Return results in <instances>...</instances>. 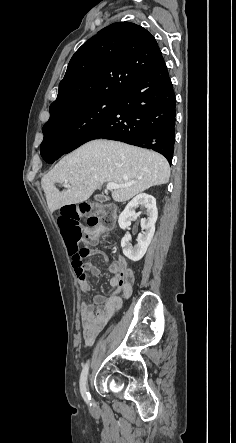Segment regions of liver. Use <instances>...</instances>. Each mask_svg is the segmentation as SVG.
I'll use <instances>...</instances> for the list:
<instances>
[{
    "label": "liver",
    "instance_id": "liver-1",
    "mask_svg": "<svg viewBox=\"0 0 236 443\" xmlns=\"http://www.w3.org/2000/svg\"><path fill=\"white\" fill-rule=\"evenodd\" d=\"M168 161L151 150L111 140L90 141L66 155L46 174L41 185L51 213L65 205L86 201L104 183L125 185L112 199L125 202L152 186L166 184ZM56 183L70 188L59 191Z\"/></svg>",
    "mask_w": 236,
    "mask_h": 443
}]
</instances>
